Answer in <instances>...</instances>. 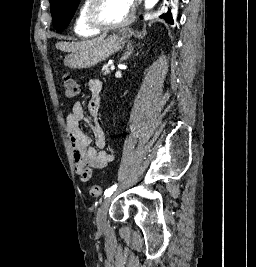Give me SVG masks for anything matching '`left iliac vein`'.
<instances>
[{
	"instance_id": "obj_1",
	"label": "left iliac vein",
	"mask_w": 256,
	"mask_h": 267,
	"mask_svg": "<svg viewBox=\"0 0 256 267\" xmlns=\"http://www.w3.org/2000/svg\"><path fill=\"white\" fill-rule=\"evenodd\" d=\"M113 196H107L101 203L100 208L98 209L97 216H96V224L98 228L103 229L106 225L107 220V211L110 207L112 202Z\"/></svg>"
}]
</instances>
